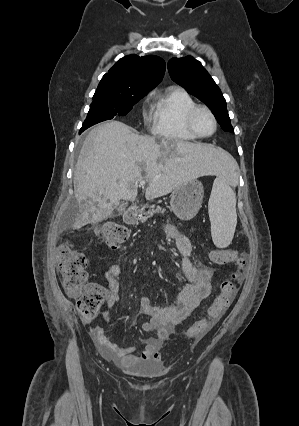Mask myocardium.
<instances>
[{"label":"myocardium","instance_id":"f54148a6","mask_svg":"<svg viewBox=\"0 0 299 426\" xmlns=\"http://www.w3.org/2000/svg\"><path fill=\"white\" fill-rule=\"evenodd\" d=\"M200 112H206L211 117L213 124H214V130L211 134L203 135V134L199 133L198 130L196 129L195 118H196L197 114L200 113ZM185 123H186V127H187L188 131L192 135H194L196 138L212 137L217 132V129H218V121H217L215 114L213 113V111L208 106H205V105H195L193 108H191L186 115Z\"/></svg>","mask_w":299,"mask_h":426}]
</instances>
